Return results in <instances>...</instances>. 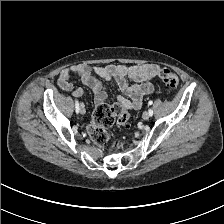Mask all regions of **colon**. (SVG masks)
I'll return each mask as SVG.
<instances>
[{"label":"colon","mask_w":224,"mask_h":224,"mask_svg":"<svg viewBox=\"0 0 224 224\" xmlns=\"http://www.w3.org/2000/svg\"><path fill=\"white\" fill-rule=\"evenodd\" d=\"M159 77L166 88L173 89L179 84L178 76L169 69H162L159 72ZM115 122L121 126H127L129 123V114L123 109L121 104H101L97 106L87 128L92 142L99 146L106 144L108 141L106 129ZM120 146L121 143L119 141H113L110 144L112 149H119Z\"/></svg>","instance_id":"obj_1"}]
</instances>
